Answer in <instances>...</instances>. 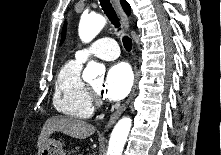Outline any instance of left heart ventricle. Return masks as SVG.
Segmentation results:
<instances>
[{
  "label": "left heart ventricle",
  "instance_id": "b2bd125f",
  "mask_svg": "<svg viewBox=\"0 0 221 155\" xmlns=\"http://www.w3.org/2000/svg\"><path fill=\"white\" fill-rule=\"evenodd\" d=\"M101 85L102 81H95L90 84V86L98 92L101 90Z\"/></svg>",
  "mask_w": 221,
  "mask_h": 155
}]
</instances>
